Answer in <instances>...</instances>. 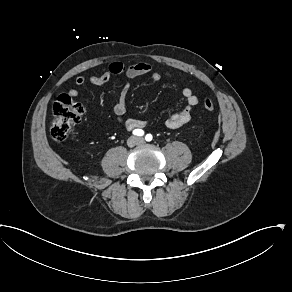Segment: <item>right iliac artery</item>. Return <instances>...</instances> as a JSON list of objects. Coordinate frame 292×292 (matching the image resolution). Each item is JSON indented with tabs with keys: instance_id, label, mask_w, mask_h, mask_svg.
Here are the masks:
<instances>
[{
	"instance_id": "1",
	"label": "right iliac artery",
	"mask_w": 292,
	"mask_h": 292,
	"mask_svg": "<svg viewBox=\"0 0 292 292\" xmlns=\"http://www.w3.org/2000/svg\"><path fill=\"white\" fill-rule=\"evenodd\" d=\"M133 134L136 135V136H143L144 135V131L141 130V129H135L133 131Z\"/></svg>"
}]
</instances>
